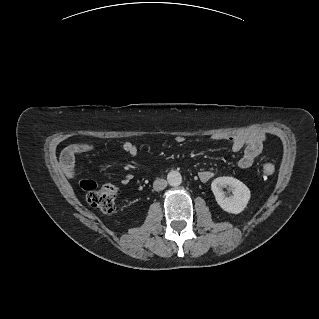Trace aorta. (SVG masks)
Segmentation results:
<instances>
[{
  "instance_id": "obj_1",
  "label": "aorta",
  "mask_w": 319,
  "mask_h": 319,
  "mask_svg": "<svg viewBox=\"0 0 319 319\" xmlns=\"http://www.w3.org/2000/svg\"><path fill=\"white\" fill-rule=\"evenodd\" d=\"M169 184L173 187H177L182 183V177L180 173H173L168 176Z\"/></svg>"
}]
</instances>
